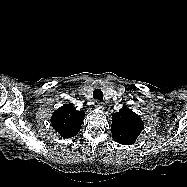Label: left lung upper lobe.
<instances>
[{
	"instance_id": "5c2ea615",
	"label": "left lung upper lobe",
	"mask_w": 187,
	"mask_h": 187,
	"mask_svg": "<svg viewBox=\"0 0 187 187\" xmlns=\"http://www.w3.org/2000/svg\"><path fill=\"white\" fill-rule=\"evenodd\" d=\"M143 127L144 124L140 116L126 105H124L119 112L112 115V137L119 144H133L143 130Z\"/></svg>"
}]
</instances>
